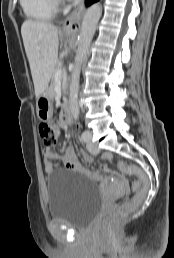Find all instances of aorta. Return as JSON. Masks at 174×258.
Returning <instances> with one entry per match:
<instances>
[{
    "label": "aorta",
    "mask_w": 174,
    "mask_h": 258,
    "mask_svg": "<svg viewBox=\"0 0 174 258\" xmlns=\"http://www.w3.org/2000/svg\"><path fill=\"white\" fill-rule=\"evenodd\" d=\"M102 15V6L99 3L90 6L84 14L80 33L78 36V48L75 57L73 70L71 73L70 83V111L74 119L79 117V103H78V91H79V79L81 66L84 59L87 56L89 46L96 31L98 21Z\"/></svg>",
    "instance_id": "obj_1"
}]
</instances>
